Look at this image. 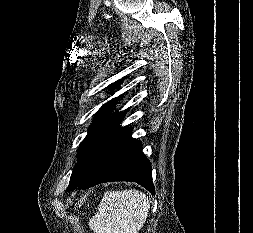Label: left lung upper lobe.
I'll use <instances>...</instances> for the list:
<instances>
[{
	"mask_svg": "<svg viewBox=\"0 0 253 233\" xmlns=\"http://www.w3.org/2000/svg\"><path fill=\"white\" fill-rule=\"evenodd\" d=\"M119 83H113L109 87L113 89L114 85ZM116 100L117 98L104 104L95 115L87 136L77 150V163L73 169L68 188L78 184L89 173L102 148L123 119V115L119 114L109 116Z\"/></svg>",
	"mask_w": 253,
	"mask_h": 233,
	"instance_id": "left-lung-upper-lobe-1",
	"label": "left lung upper lobe"
}]
</instances>
